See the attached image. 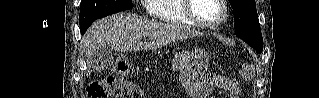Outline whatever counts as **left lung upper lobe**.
I'll use <instances>...</instances> for the list:
<instances>
[{
    "label": "left lung upper lobe",
    "instance_id": "obj_1",
    "mask_svg": "<svg viewBox=\"0 0 319 98\" xmlns=\"http://www.w3.org/2000/svg\"><path fill=\"white\" fill-rule=\"evenodd\" d=\"M229 2L234 12L235 34L261 53L263 39L255 0H229Z\"/></svg>",
    "mask_w": 319,
    "mask_h": 98
}]
</instances>
